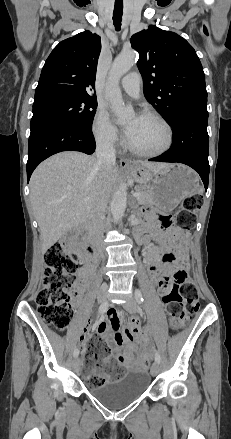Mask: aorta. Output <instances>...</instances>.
I'll list each match as a JSON object with an SVG mask.
<instances>
[{
	"label": "aorta",
	"instance_id": "1",
	"mask_svg": "<svg viewBox=\"0 0 231 439\" xmlns=\"http://www.w3.org/2000/svg\"><path fill=\"white\" fill-rule=\"evenodd\" d=\"M136 59V52L133 50L121 53L116 57L109 71L106 96L111 104L112 111L117 115L118 120L121 122L129 119L134 114V110L130 106H125L119 88V81L121 77L136 63ZM126 204L127 188L123 185L116 191L110 205L113 220L115 222H118L123 217Z\"/></svg>",
	"mask_w": 231,
	"mask_h": 439
}]
</instances>
